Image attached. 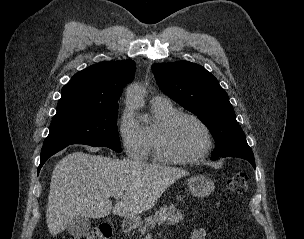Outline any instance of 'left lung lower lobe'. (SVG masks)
I'll return each mask as SVG.
<instances>
[{
  "mask_svg": "<svg viewBox=\"0 0 304 239\" xmlns=\"http://www.w3.org/2000/svg\"><path fill=\"white\" fill-rule=\"evenodd\" d=\"M243 159H246L247 161H249L251 163V165L255 168V161H254V159H252V158H243ZM213 160H216V159H213Z\"/></svg>",
  "mask_w": 304,
  "mask_h": 239,
  "instance_id": "0a47b994",
  "label": "left lung lower lobe"
}]
</instances>
